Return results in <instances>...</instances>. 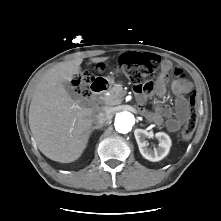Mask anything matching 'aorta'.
Returning a JSON list of instances; mask_svg holds the SVG:
<instances>
[{
    "instance_id": "aorta-1",
    "label": "aorta",
    "mask_w": 221,
    "mask_h": 221,
    "mask_svg": "<svg viewBox=\"0 0 221 221\" xmlns=\"http://www.w3.org/2000/svg\"><path fill=\"white\" fill-rule=\"evenodd\" d=\"M135 123V116L129 111L119 112L115 116L114 126L120 133H128Z\"/></svg>"
}]
</instances>
